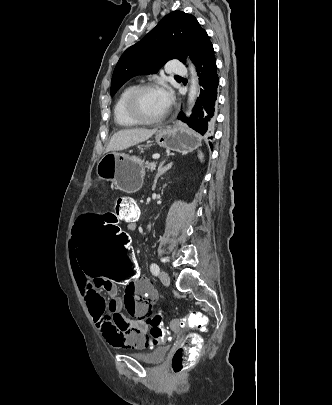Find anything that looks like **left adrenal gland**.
Masks as SVG:
<instances>
[{
    "label": "left adrenal gland",
    "mask_w": 332,
    "mask_h": 405,
    "mask_svg": "<svg viewBox=\"0 0 332 405\" xmlns=\"http://www.w3.org/2000/svg\"><path fill=\"white\" fill-rule=\"evenodd\" d=\"M164 164H165V161H162V162L159 164V166H158L157 174H156V176H155L154 184H153V187H152L153 190H154L155 187H156L158 178H159L160 176H162L163 174H165V173H166L169 169H171L172 166H173V163H172V162L169 163V164H167L166 166H164Z\"/></svg>",
    "instance_id": "a2214340"
}]
</instances>
